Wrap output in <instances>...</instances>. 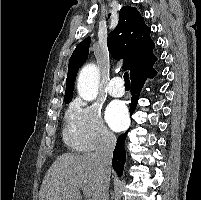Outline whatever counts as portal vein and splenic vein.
<instances>
[{"instance_id":"obj_1","label":"portal vein and splenic vein","mask_w":201,"mask_h":200,"mask_svg":"<svg viewBox=\"0 0 201 200\" xmlns=\"http://www.w3.org/2000/svg\"><path fill=\"white\" fill-rule=\"evenodd\" d=\"M81 188H82V190H83V192H84V196H85L87 199L90 200V197H91V192H90V190L87 188L86 185H81Z\"/></svg>"}]
</instances>
